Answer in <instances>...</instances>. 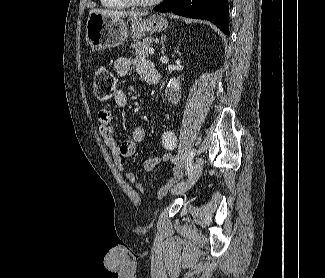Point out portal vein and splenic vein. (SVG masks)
<instances>
[{
  "instance_id": "obj_1",
  "label": "portal vein and splenic vein",
  "mask_w": 325,
  "mask_h": 278,
  "mask_svg": "<svg viewBox=\"0 0 325 278\" xmlns=\"http://www.w3.org/2000/svg\"><path fill=\"white\" fill-rule=\"evenodd\" d=\"M148 52H149L150 55H153V54H154V49H153V48H150V49L148 50Z\"/></svg>"
}]
</instances>
